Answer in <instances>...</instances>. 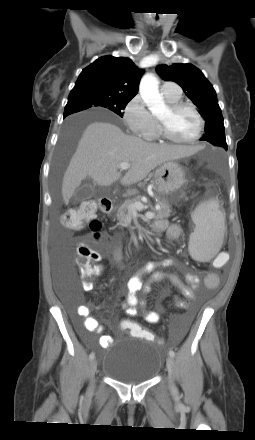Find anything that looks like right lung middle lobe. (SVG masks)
Segmentation results:
<instances>
[{
	"label": "right lung middle lobe",
	"instance_id": "dd1d6c3e",
	"mask_svg": "<svg viewBox=\"0 0 255 440\" xmlns=\"http://www.w3.org/2000/svg\"><path fill=\"white\" fill-rule=\"evenodd\" d=\"M132 98L115 96L105 92L85 91L70 93L68 103L65 106L64 115H69L90 107L107 108L120 117H123L122 110Z\"/></svg>",
	"mask_w": 255,
	"mask_h": 440
}]
</instances>
